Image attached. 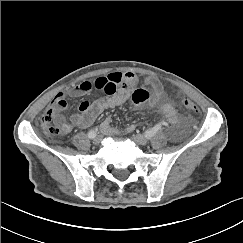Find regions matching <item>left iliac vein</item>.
<instances>
[{"label": "left iliac vein", "mask_w": 243, "mask_h": 243, "mask_svg": "<svg viewBox=\"0 0 243 243\" xmlns=\"http://www.w3.org/2000/svg\"><path fill=\"white\" fill-rule=\"evenodd\" d=\"M132 139L139 145L144 146L148 144V139L143 135L136 134L132 136Z\"/></svg>", "instance_id": "4c4485c4"}]
</instances>
